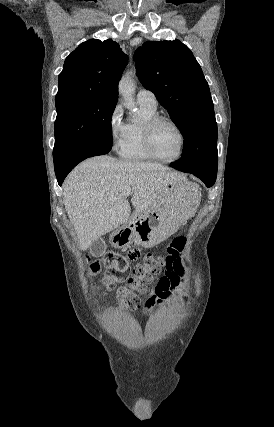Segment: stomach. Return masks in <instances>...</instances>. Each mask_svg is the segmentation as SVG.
Masks as SVG:
<instances>
[{"label":"stomach","instance_id":"0dacf381","mask_svg":"<svg viewBox=\"0 0 274 427\" xmlns=\"http://www.w3.org/2000/svg\"><path fill=\"white\" fill-rule=\"evenodd\" d=\"M178 190L171 188L172 196L167 202H157L154 208L143 214H132L123 225L110 233L113 247H127L133 241L143 247H153L167 239L177 229L176 215H192L199 206L200 198L196 184L178 182ZM194 200L195 206H194Z\"/></svg>","mask_w":274,"mask_h":427}]
</instances>
